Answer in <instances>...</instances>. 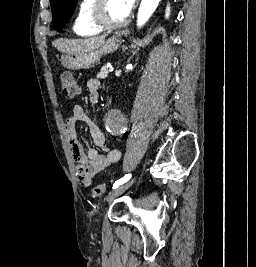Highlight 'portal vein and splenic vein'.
I'll use <instances>...</instances> for the list:
<instances>
[{"instance_id":"18ae733b","label":"portal vein and splenic vein","mask_w":256,"mask_h":267,"mask_svg":"<svg viewBox=\"0 0 256 267\" xmlns=\"http://www.w3.org/2000/svg\"><path fill=\"white\" fill-rule=\"evenodd\" d=\"M107 68H108V71L112 72L113 68H112L111 64H107Z\"/></svg>"}]
</instances>
